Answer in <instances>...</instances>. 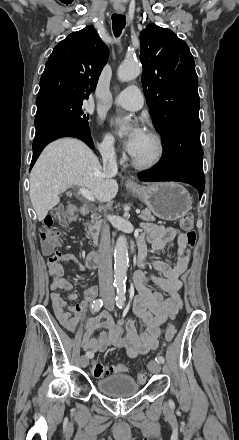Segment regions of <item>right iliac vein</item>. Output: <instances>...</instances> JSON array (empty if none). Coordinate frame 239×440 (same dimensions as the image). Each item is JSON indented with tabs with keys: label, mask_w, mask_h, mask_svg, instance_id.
I'll list each match as a JSON object with an SVG mask.
<instances>
[{
	"label": "right iliac vein",
	"mask_w": 239,
	"mask_h": 440,
	"mask_svg": "<svg viewBox=\"0 0 239 440\" xmlns=\"http://www.w3.org/2000/svg\"><path fill=\"white\" fill-rule=\"evenodd\" d=\"M80 363L83 368L87 367L89 364V358L86 355L81 356Z\"/></svg>",
	"instance_id": "1"
}]
</instances>
